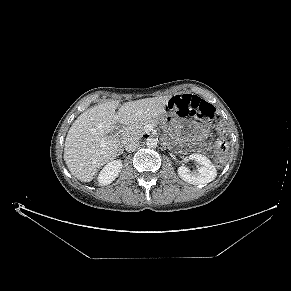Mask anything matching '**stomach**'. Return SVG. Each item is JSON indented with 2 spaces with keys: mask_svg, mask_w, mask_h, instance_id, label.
<instances>
[{
  "mask_svg": "<svg viewBox=\"0 0 291 291\" xmlns=\"http://www.w3.org/2000/svg\"><path fill=\"white\" fill-rule=\"evenodd\" d=\"M176 117H174L171 114H163L159 116L157 119H155L156 122H162V123H168L171 121H174ZM181 123L184 125H188L193 129V136L196 138L202 137L204 135V131L202 128L193 120L190 119H179Z\"/></svg>",
  "mask_w": 291,
  "mask_h": 291,
  "instance_id": "stomach-1",
  "label": "stomach"
}]
</instances>
